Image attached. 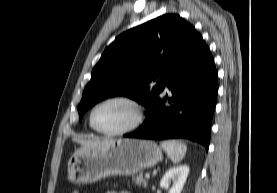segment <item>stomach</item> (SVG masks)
I'll list each match as a JSON object with an SVG mask.
<instances>
[{
    "label": "stomach",
    "instance_id": "stomach-1",
    "mask_svg": "<svg viewBox=\"0 0 277 193\" xmlns=\"http://www.w3.org/2000/svg\"><path fill=\"white\" fill-rule=\"evenodd\" d=\"M161 159V149L149 140L119 139L101 148L82 146L68 161V180L89 184L110 176L134 175Z\"/></svg>",
    "mask_w": 277,
    "mask_h": 193
}]
</instances>
